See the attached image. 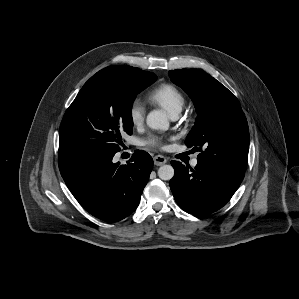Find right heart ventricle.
Returning a JSON list of instances; mask_svg holds the SVG:
<instances>
[{"label": "right heart ventricle", "mask_w": 299, "mask_h": 299, "mask_svg": "<svg viewBox=\"0 0 299 299\" xmlns=\"http://www.w3.org/2000/svg\"><path fill=\"white\" fill-rule=\"evenodd\" d=\"M148 99L164 108L171 116L179 114L185 105L184 94L169 83L160 84L151 90Z\"/></svg>", "instance_id": "1"}]
</instances>
